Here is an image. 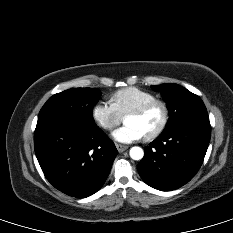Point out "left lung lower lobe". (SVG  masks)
<instances>
[{
    "mask_svg": "<svg viewBox=\"0 0 233 233\" xmlns=\"http://www.w3.org/2000/svg\"><path fill=\"white\" fill-rule=\"evenodd\" d=\"M211 137L209 120L197 119L164 132L146 147L138 172L148 185L161 191L189 182L201 167Z\"/></svg>",
    "mask_w": 233,
    "mask_h": 233,
    "instance_id": "1",
    "label": "left lung lower lobe"
}]
</instances>
